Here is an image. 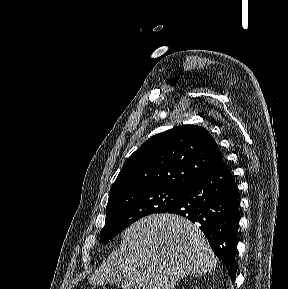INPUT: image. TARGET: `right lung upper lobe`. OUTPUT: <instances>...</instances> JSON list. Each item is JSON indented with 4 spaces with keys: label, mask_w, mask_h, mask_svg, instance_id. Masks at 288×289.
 Wrapping results in <instances>:
<instances>
[{
    "label": "right lung upper lobe",
    "mask_w": 288,
    "mask_h": 289,
    "mask_svg": "<svg viewBox=\"0 0 288 289\" xmlns=\"http://www.w3.org/2000/svg\"><path fill=\"white\" fill-rule=\"evenodd\" d=\"M220 161L218 145L205 128L177 126L145 141L125 161L110 196L133 189L186 188Z\"/></svg>",
    "instance_id": "1"
}]
</instances>
